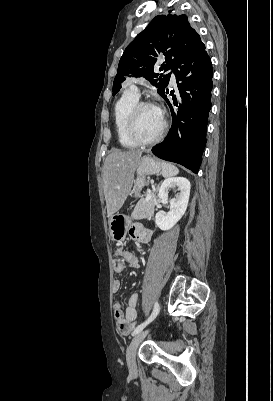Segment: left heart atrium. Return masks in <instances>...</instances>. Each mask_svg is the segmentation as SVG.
Returning a JSON list of instances; mask_svg holds the SVG:
<instances>
[{
    "mask_svg": "<svg viewBox=\"0 0 273 401\" xmlns=\"http://www.w3.org/2000/svg\"><path fill=\"white\" fill-rule=\"evenodd\" d=\"M156 111L158 112V114L163 118V116H162V112H161V110H159V109H156Z\"/></svg>",
    "mask_w": 273,
    "mask_h": 401,
    "instance_id": "1",
    "label": "left heart atrium"
}]
</instances>
